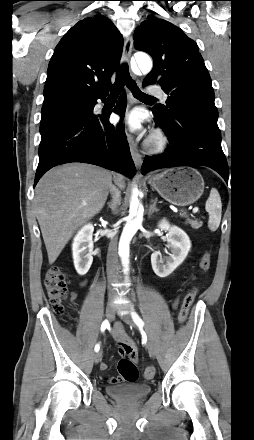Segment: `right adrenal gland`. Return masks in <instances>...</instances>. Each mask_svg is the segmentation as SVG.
Listing matches in <instances>:
<instances>
[{
  "mask_svg": "<svg viewBox=\"0 0 254 440\" xmlns=\"http://www.w3.org/2000/svg\"><path fill=\"white\" fill-rule=\"evenodd\" d=\"M107 205H108V208L111 209V211H113V212L115 211V201L114 202H108Z\"/></svg>",
  "mask_w": 254,
  "mask_h": 440,
  "instance_id": "1",
  "label": "right adrenal gland"
}]
</instances>
